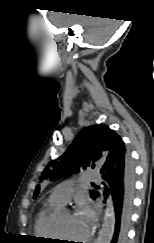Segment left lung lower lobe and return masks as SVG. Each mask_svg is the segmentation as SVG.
<instances>
[{"mask_svg": "<svg viewBox=\"0 0 154 243\" xmlns=\"http://www.w3.org/2000/svg\"><path fill=\"white\" fill-rule=\"evenodd\" d=\"M126 149V148H125ZM127 151V150H126ZM100 172L106 181L105 197L110 193L114 209V227L111 243H126L134 197V166L129 152L108 156ZM100 194L95 192L94 197Z\"/></svg>", "mask_w": 154, "mask_h": 243, "instance_id": "1", "label": "left lung lower lobe"}]
</instances>
